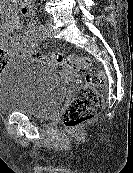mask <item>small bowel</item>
<instances>
[{
	"label": "small bowel",
	"mask_w": 133,
	"mask_h": 173,
	"mask_svg": "<svg viewBox=\"0 0 133 173\" xmlns=\"http://www.w3.org/2000/svg\"><path fill=\"white\" fill-rule=\"evenodd\" d=\"M23 15L29 13L21 6ZM37 37L35 23H30L23 31L16 15H8L0 24V50L6 56L33 57L36 52Z\"/></svg>",
	"instance_id": "c3829d8e"
}]
</instances>
